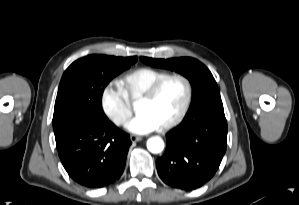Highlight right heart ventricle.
<instances>
[{
  "label": "right heart ventricle",
  "instance_id": "e07e8e85",
  "mask_svg": "<svg viewBox=\"0 0 299 205\" xmlns=\"http://www.w3.org/2000/svg\"><path fill=\"white\" fill-rule=\"evenodd\" d=\"M166 71L151 67L131 70L117 80L128 101H136L157 80L168 75Z\"/></svg>",
  "mask_w": 299,
  "mask_h": 205
}]
</instances>
